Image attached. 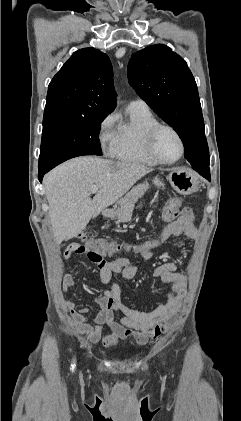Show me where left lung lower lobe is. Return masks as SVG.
Masks as SVG:
<instances>
[{"label":"left lung lower lobe","instance_id":"left-lung-lower-lobe-1","mask_svg":"<svg viewBox=\"0 0 241 421\" xmlns=\"http://www.w3.org/2000/svg\"><path fill=\"white\" fill-rule=\"evenodd\" d=\"M190 163H191L193 169L198 171L206 179L210 180L209 165L204 166L202 164H198V163L196 164L194 162H190Z\"/></svg>","mask_w":241,"mask_h":421}]
</instances>
